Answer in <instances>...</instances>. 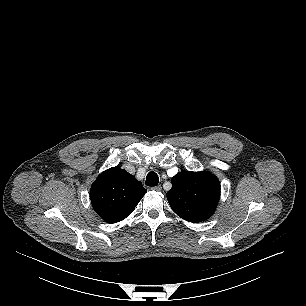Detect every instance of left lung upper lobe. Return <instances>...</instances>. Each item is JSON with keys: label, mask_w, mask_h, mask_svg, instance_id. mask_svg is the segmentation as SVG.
I'll return each mask as SVG.
<instances>
[{"label": "left lung upper lobe", "mask_w": 306, "mask_h": 306, "mask_svg": "<svg viewBox=\"0 0 306 306\" xmlns=\"http://www.w3.org/2000/svg\"><path fill=\"white\" fill-rule=\"evenodd\" d=\"M167 200L181 218L198 223L214 213L220 196L218 179L210 173L182 171L172 179Z\"/></svg>", "instance_id": "1"}]
</instances>
